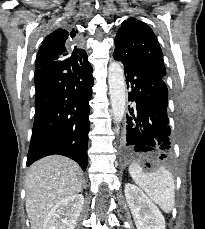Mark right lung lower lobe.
I'll return each instance as SVG.
<instances>
[{
    "mask_svg": "<svg viewBox=\"0 0 205 229\" xmlns=\"http://www.w3.org/2000/svg\"><path fill=\"white\" fill-rule=\"evenodd\" d=\"M35 118L27 166L52 154L75 160L85 171L90 129L88 102L94 83L92 67L73 70L56 61L36 69Z\"/></svg>",
    "mask_w": 205,
    "mask_h": 229,
    "instance_id": "1",
    "label": "right lung lower lobe"
}]
</instances>
